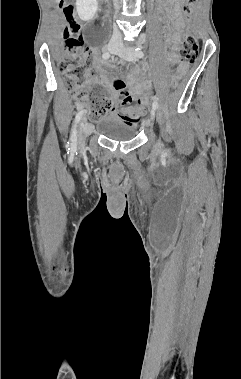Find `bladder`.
Here are the masks:
<instances>
[{"mask_svg": "<svg viewBox=\"0 0 241 379\" xmlns=\"http://www.w3.org/2000/svg\"><path fill=\"white\" fill-rule=\"evenodd\" d=\"M99 132L114 141H130L136 136V127L117 116L108 115L98 125Z\"/></svg>", "mask_w": 241, "mask_h": 379, "instance_id": "obj_1", "label": "bladder"}]
</instances>
